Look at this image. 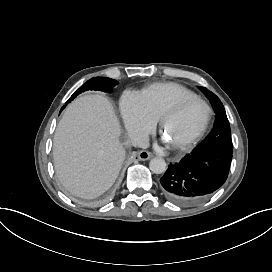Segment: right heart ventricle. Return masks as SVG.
Wrapping results in <instances>:
<instances>
[{
	"label": "right heart ventricle",
	"instance_id": "right-heart-ventricle-1",
	"mask_svg": "<svg viewBox=\"0 0 272 272\" xmlns=\"http://www.w3.org/2000/svg\"><path fill=\"white\" fill-rule=\"evenodd\" d=\"M138 95L146 110L155 118L161 117L163 110L177 98L196 97L191 91L174 83L154 84Z\"/></svg>",
	"mask_w": 272,
	"mask_h": 272
}]
</instances>
